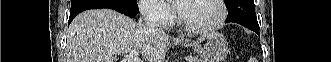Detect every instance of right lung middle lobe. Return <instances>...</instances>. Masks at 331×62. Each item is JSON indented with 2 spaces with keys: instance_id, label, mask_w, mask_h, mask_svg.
Masks as SVG:
<instances>
[{
  "instance_id": "dd1d6c3e",
  "label": "right lung middle lobe",
  "mask_w": 331,
  "mask_h": 62,
  "mask_svg": "<svg viewBox=\"0 0 331 62\" xmlns=\"http://www.w3.org/2000/svg\"><path fill=\"white\" fill-rule=\"evenodd\" d=\"M85 5H111L131 13H138L136 0H71V10Z\"/></svg>"
}]
</instances>
